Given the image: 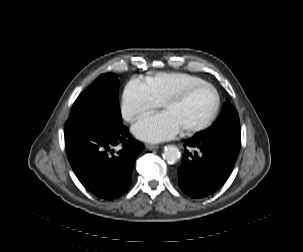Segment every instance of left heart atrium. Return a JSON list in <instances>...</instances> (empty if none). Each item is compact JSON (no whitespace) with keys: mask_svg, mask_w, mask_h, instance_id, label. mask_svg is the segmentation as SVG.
Returning <instances> with one entry per match:
<instances>
[{"mask_svg":"<svg viewBox=\"0 0 303 252\" xmlns=\"http://www.w3.org/2000/svg\"><path fill=\"white\" fill-rule=\"evenodd\" d=\"M179 131V127L168 113L147 117L135 128V133L139 138L150 142L174 138Z\"/></svg>","mask_w":303,"mask_h":252,"instance_id":"1","label":"left heart atrium"}]
</instances>
